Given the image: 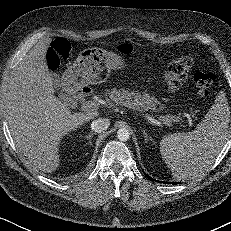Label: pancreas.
Returning a JSON list of instances; mask_svg holds the SVG:
<instances>
[{"label":"pancreas","instance_id":"1","mask_svg":"<svg viewBox=\"0 0 231 231\" xmlns=\"http://www.w3.org/2000/svg\"><path fill=\"white\" fill-rule=\"evenodd\" d=\"M104 95L108 97L109 100L132 109H155L156 105L160 104L155 97H151L147 93L141 94L140 92L125 89L113 88L106 90ZM161 118L170 120L171 116H163Z\"/></svg>","mask_w":231,"mask_h":231}]
</instances>
